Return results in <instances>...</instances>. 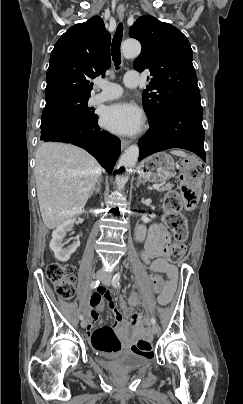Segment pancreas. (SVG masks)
I'll use <instances>...</instances> for the list:
<instances>
[{"instance_id":"1","label":"pancreas","mask_w":243,"mask_h":404,"mask_svg":"<svg viewBox=\"0 0 243 404\" xmlns=\"http://www.w3.org/2000/svg\"><path fill=\"white\" fill-rule=\"evenodd\" d=\"M174 184H166V186H161L159 188L158 192H167V190H171L173 188Z\"/></svg>"}]
</instances>
